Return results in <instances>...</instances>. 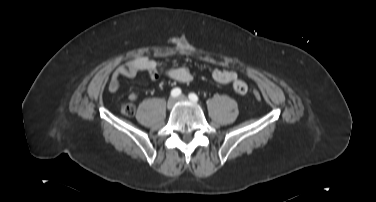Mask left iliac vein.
I'll return each instance as SVG.
<instances>
[{
    "label": "left iliac vein",
    "instance_id": "left-iliac-vein-1",
    "mask_svg": "<svg viewBox=\"0 0 376 202\" xmlns=\"http://www.w3.org/2000/svg\"><path fill=\"white\" fill-rule=\"evenodd\" d=\"M177 100H178V101H187L188 98H187L186 96H184V95H181V96L178 97Z\"/></svg>",
    "mask_w": 376,
    "mask_h": 202
}]
</instances>
